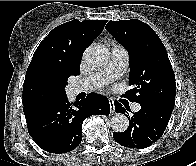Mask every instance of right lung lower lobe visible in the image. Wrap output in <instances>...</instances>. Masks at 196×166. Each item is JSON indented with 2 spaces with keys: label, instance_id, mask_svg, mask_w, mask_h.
Returning a JSON list of instances; mask_svg holds the SVG:
<instances>
[{
  "label": "right lung lower lobe",
  "instance_id": "obj_1",
  "mask_svg": "<svg viewBox=\"0 0 196 166\" xmlns=\"http://www.w3.org/2000/svg\"><path fill=\"white\" fill-rule=\"evenodd\" d=\"M23 111L36 144L47 152L61 154L74 150L82 141L83 120L93 114L108 115L110 104L107 97L96 93L75 103L65 95L26 105Z\"/></svg>",
  "mask_w": 196,
  "mask_h": 166
}]
</instances>
